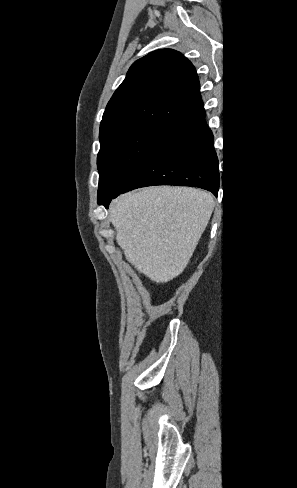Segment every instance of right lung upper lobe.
<instances>
[{
	"instance_id": "1",
	"label": "right lung upper lobe",
	"mask_w": 297,
	"mask_h": 488,
	"mask_svg": "<svg viewBox=\"0 0 297 488\" xmlns=\"http://www.w3.org/2000/svg\"><path fill=\"white\" fill-rule=\"evenodd\" d=\"M204 113L193 64L172 49L153 51L130 67L110 99L100 124V142L135 128L173 131Z\"/></svg>"
}]
</instances>
